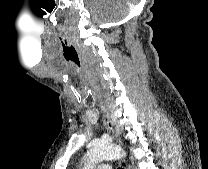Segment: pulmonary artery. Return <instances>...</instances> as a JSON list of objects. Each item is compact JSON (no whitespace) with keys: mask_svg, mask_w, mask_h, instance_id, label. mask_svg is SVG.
<instances>
[{"mask_svg":"<svg viewBox=\"0 0 208 169\" xmlns=\"http://www.w3.org/2000/svg\"><path fill=\"white\" fill-rule=\"evenodd\" d=\"M98 169H111V166L107 161H103L101 164L97 166Z\"/></svg>","mask_w":208,"mask_h":169,"instance_id":"e3ab8cb5","label":"pulmonary artery"}]
</instances>
